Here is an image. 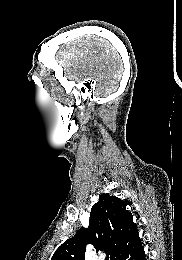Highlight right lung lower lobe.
<instances>
[{
	"label": "right lung lower lobe",
	"instance_id": "obj_1",
	"mask_svg": "<svg viewBox=\"0 0 182 260\" xmlns=\"http://www.w3.org/2000/svg\"><path fill=\"white\" fill-rule=\"evenodd\" d=\"M116 260H145V252L141 240L137 241L126 251L122 252Z\"/></svg>",
	"mask_w": 182,
	"mask_h": 260
}]
</instances>
